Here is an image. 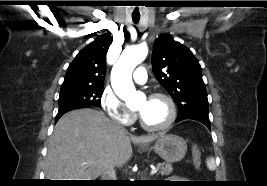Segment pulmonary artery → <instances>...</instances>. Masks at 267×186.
<instances>
[{"mask_svg": "<svg viewBox=\"0 0 267 186\" xmlns=\"http://www.w3.org/2000/svg\"><path fill=\"white\" fill-rule=\"evenodd\" d=\"M133 79L137 83H144L147 80V72L146 69L142 66L136 68V70L133 73Z\"/></svg>", "mask_w": 267, "mask_h": 186, "instance_id": "e3ab8cb5", "label": "pulmonary artery"}]
</instances>
